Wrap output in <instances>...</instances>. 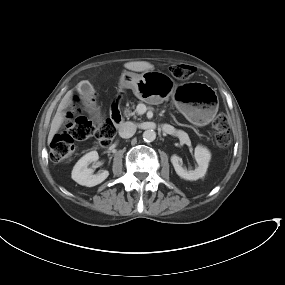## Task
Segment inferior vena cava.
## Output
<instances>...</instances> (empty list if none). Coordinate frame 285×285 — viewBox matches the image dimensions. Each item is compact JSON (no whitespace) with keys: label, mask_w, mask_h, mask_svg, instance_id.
<instances>
[{"label":"inferior vena cava","mask_w":285,"mask_h":285,"mask_svg":"<svg viewBox=\"0 0 285 285\" xmlns=\"http://www.w3.org/2000/svg\"><path fill=\"white\" fill-rule=\"evenodd\" d=\"M119 135L122 138H130L136 132V125L132 122H125L119 126L118 129Z\"/></svg>","instance_id":"inferior-vena-cava-1"}]
</instances>
